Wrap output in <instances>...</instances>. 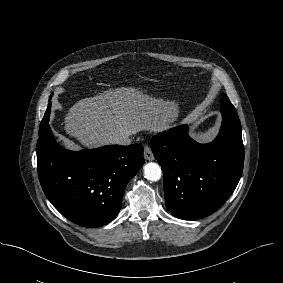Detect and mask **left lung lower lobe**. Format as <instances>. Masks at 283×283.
<instances>
[{"instance_id":"left-lung-lower-lobe-1","label":"left lung lower lobe","mask_w":283,"mask_h":283,"mask_svg":"<svg viewBox=\"0 0 283 283\" xmlns=\"http://www.w3.org/2000/svg\"><path fill=\"white\" fill-rule=\"evenodd\" d=\"M222 125L217 138L200 144L187 125L158 133L151 149L164 174L166 207L185 220L215 212L236 188L244 165L241 124L235 107L221 104Z\"/></svg>"}]
</instances>
